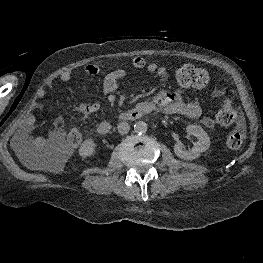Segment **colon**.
Masks as SVG:
<instances>
[{"instance_id":"colon-1","label":"colon","mask_w":263,"mask_h":263,"mask_svg":"<svg viewBox=\"0 0 263 263\" xmlns=\"http://www.w3.org/2000/svg\"><path fill=\"white\" fill-rule=\"evenodd\" d=\"M177 82L183 87L204 88L209 83L208 72L200 67L192 64H184L180 66L175 72ZM237 109L230 99H225L216 115L217 123L222 126L232 124L236 118ZM67 143L70 147H78L82 140V135L79 130L73 128L69 130L66 137ZM225 143L229 149H239L243 144V134L240 131L234 130L226 135ZM49 156L54 165L64 162L65 151L61 148L52 149Z\"/></svg>"}]
</instances>
